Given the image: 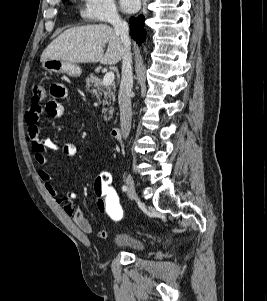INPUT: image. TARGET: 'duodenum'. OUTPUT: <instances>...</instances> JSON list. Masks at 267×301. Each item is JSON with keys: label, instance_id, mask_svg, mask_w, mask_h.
Listing matches in <instances>:
<instances>
[{"label": "duodenum", "instance_id": "obj_1", "mask_svg": "<svg viewBox=\"0 0 267 301\" xmlns=\"http://www.w3.org/2000/svg\"><path fill=\"white\" fill-rule=\"evenodd\" d=\"M110 134L113 139H119L121 137V128L118 126L113 127Z\"/></svg>", "mask_w": 267, "mask_h": 301}]
</instances>
